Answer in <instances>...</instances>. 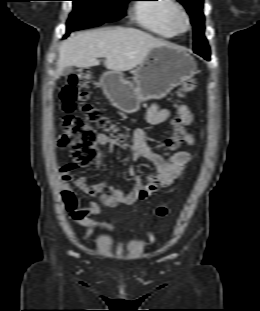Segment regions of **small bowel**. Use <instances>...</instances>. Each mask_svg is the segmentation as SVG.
Segmentation results:
<instances>
[{"label":"small bowel","instance_id":"obj_1","mask_svg":"<svg viewBox=\"0 0 260 311\" xmlns=\"http://www.w3.org/2000/svg\"><path fill=\"white\" fill-rule=\"evenodd\" d=\"M179 124L188 126L192 122V114L185 105L178 108ZM170 117V111L167 108L152 104L147 109L145 118L149 124L157 125L167 121ZM187 144L191 147L196 146V139L192 134H188ZM102 145L107 146L110 153L117 149H128L132 152V161L145 159L156 169L155 174L147 177L143 182L136 173L133 165L128 167L127 173L132 178V185L124 191L106 182L92 183L84 176H74V172L80 166L70 162L61 168V195L65 208L71 218L79 225L86 228H98L103 230L111 229L108 222H98L91 219V216L100 212V205L115 207L119 204L134 205L138 201H143L149 196L155 194L160 188L167 187L175 182L182 174L185 166L191 161V153L180 151L168 158L154 152L148 144L147 133L137 128L133 131L131 142H124L110 137L103 136ZM102 156L98 162H101ZM87 194L95 200L81 201L78 199L75 189Z\"/></svg>","mask_w":260,"mask_h":311}]
</instances>
